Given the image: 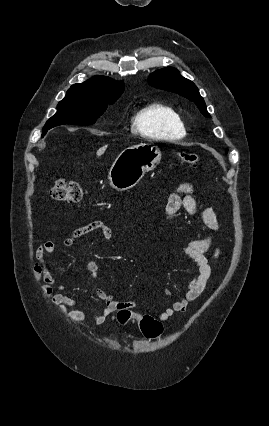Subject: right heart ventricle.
Here are the masks:
<instances>
[{"mask_svg":"<svg viewBox=\"0 0 269 426\" xmlns=\"http://www.w3.org/2000/svg\"><path fill=\"white\" fill-rule=\"evenodd\" d=\"M133 128L153 140H175L186 134L184 123L171 106L154 102L138 110L132 118Z\"/></svg>","mask_w":269,"mask_h":426,"instance_id":"e07e8e85","label":"right heart ventricle"}]
</instances>
